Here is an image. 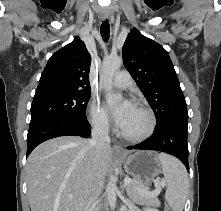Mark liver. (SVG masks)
<instances>
[{
	"mask_svg": "<svg viewBox=\"0 0 221 211\" xmlns=\"http://www.w3.org/2000/svg\"><path fill=\"white\" fill-rule=\"evenodd\" d=\"M112 157L110 147L98 157L89 140L76 136L43 142L26 164L31 211H86L96 174L101 171L105 178Z\"/></svg>",
	"mask_w": 221,
	"mask_h": 211,
	"instance_id": "obj_1",
	"label": "liver"
}]
</instances>
